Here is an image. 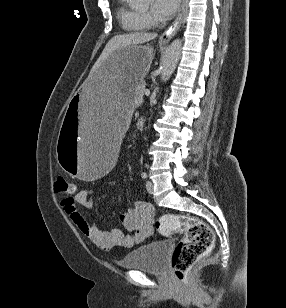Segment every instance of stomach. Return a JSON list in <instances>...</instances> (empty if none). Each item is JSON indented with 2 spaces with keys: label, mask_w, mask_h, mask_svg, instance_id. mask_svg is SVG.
I'll list each match as a JSON object with an SVG mask.
<instances>
[{
  "label": "stomach",
  "mask_w": 286,
  "mask_h": 308,
  "mask_svg": "<svg viewBox=\"0 0 286 308\" xmlns=\"http://www.w3.org/2000/svg\"><path fill=\"white\" fill-rule=\"evenodd\" d=\"M153 49L144 44L125 47L99 60L68 100L57 150V161L77 182H100L119 159L122 125L130 124L135 87L152 63Z\"/></svg>",
  "instance_id": "stomach-1"
}]
</instances>
